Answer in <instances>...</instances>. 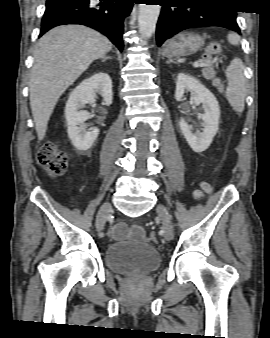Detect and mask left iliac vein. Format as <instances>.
<instances>
[{
  "label": "left iliac vein",
  "instance_id": "1",
  "mask_svg": "<svg viewBox=\"0 0 270 338\" xmlns=\"http://www.w3.org/2000/svg\"><path fill=\"white\" fill-rule=\"evenodd\" d=\"M157 213L163 222V235L166 241H172L174 237V228L170 214L162 204L157 206Z\"/></svg>",
  "mask_w": 270,
  "mask_h": 338
}]
</instances>
